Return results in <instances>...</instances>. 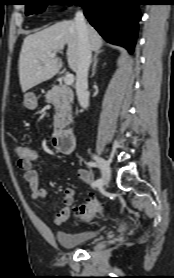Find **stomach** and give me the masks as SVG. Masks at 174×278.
I'll return each instance as SVG.
<instances>
[{
	"mask_svg": "<svg viewBox=\"0 0 174 278\" xmlns=\"http://www.w3.org/2000/svg\"><path fill=\"white\" fill-rule=\"evenodd\" d=\"M24 105L28 109H35L37 107V97L34 93H26L24 95Z\"/></svg>",
	"mask_w": 174,
	"mask_h": 278,
	"instance_id": "0dacf381",
	"label": "stomach"
}]
</instances>
